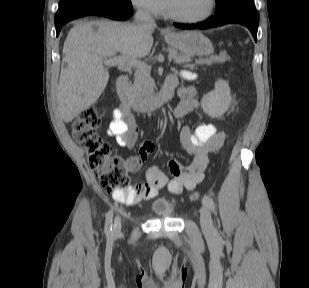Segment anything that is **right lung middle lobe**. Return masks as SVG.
Wrapping results in <instances>:
<instances>
[{"label":"right lung middle lobe","mask_w":309,"mask_h":288,"mask_svg":"<svg viewBox=\"0 0 309 288\" xmlns=\"http://www.w3.org/2000/svg\"><path fill=\"white\" fill-rule=\"evenodd\" d=\"M95 2H109V3L131 5L130 0H61L59 9L55 15V21L59 20L72 10H75L83 5Z\"/></svg>","instance_id":"1"}]
</instances>
